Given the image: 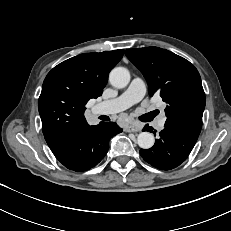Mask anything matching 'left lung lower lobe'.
<instances>
[{
	"label": "left lung lower lobe",
	"mask_w": 231,
	"mask_h": 231,
	"mask_svg": "<svg viewBox=\"0 0 231 231\" xmlns=\"http://www.w3.org/2000/svg\"><path fill=\"white\" fill-rule=\"evenodd\" d=\"M143 131L153 132L156 135L148 124L143 128ZM197 139L183 129L165 123L154 146L147 150L141 149L140 155L158 169L171 170L186 160Z\"/></svg>",
	"instance_id": "left-lung-lower-lobe-1"
}]
</instances>
